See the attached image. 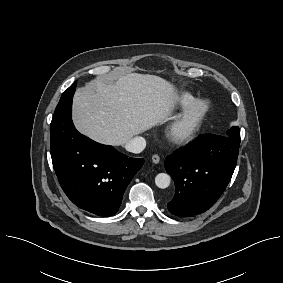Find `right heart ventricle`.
Listing matches in <instances>:
<instances>
[{
	"label": "right heart ventricle",
	"instance_id": "obj_1",
	"mask_svg": "<svg viewBox=\"0 0 283 283\" xmlns=\"http://www.w3.org/2000/svg\"><path fill=\"white\" fill-rule=\"evenodd\" d=\"M194 96L188 92H180L174 99L173 105L175 108H183L194 101Z\"/></svg>",
	"mask_w": 283,
	"mask_h": 283
}]
</instances>
